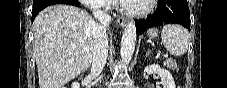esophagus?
I'll list each match as a JSON object with an SVG mask.
<instances>
[{"label":"esophagus","mask_w":227,"mask_h":88,"mask_svg":"<svg viewBox=\"0 0 227 88\" xmlns=\"http://www.w3.org/2000/svg\"><path fill=\"white\" fill-rule=\"evenodd\" d=\"M117 23L121 26V27H124L126 26L127 24V19L126 18H123V17H119L117 19Z\"/></svg>","instance_id":"1"}]
</instances>
